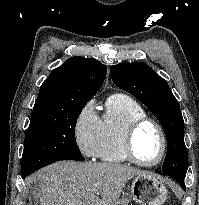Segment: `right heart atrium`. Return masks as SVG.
Here are the masks:
<instances>
[{"label": "right heart atrium", "mask_w": 199, "mask_h": 205, "mask_svg": "<svg viewBox=\"0 0 199 205\" xmlns=\"http://www.w3.org/2000/svg\"><path fill=\"white\" fill-rule=\"evenodd\" d=\"M100 119L89 101L80 111L74 126V140L79 151L88 158L98 154Z\"/></svg>", "instance_id": "obj_1"}]
</instances>
